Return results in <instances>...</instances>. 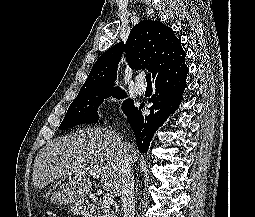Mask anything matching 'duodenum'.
<instances>
[{"instance_id": "duodenum-1", "label": "duodenum", "mask_w": 255, "mask_h": 217, "mask_svg": "<svg viewBox=\"0 0 255 217\" xmlns=\"http://www.w3.org/2000/svg\"><path fill=\"white\" fill-rule=\"evenodd\" d=\"M92 208L90 206H84V211L89 214L91 212Z\"/></svg>"}]
</instances>
